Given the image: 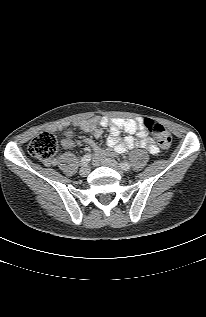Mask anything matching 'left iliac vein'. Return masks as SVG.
Returning a JSON list of instances; mask_svg holds the SVG:
<instances>
[{"label": "left iliac vein", "mask_w": 206, "mask_h": 317, "mask_svg": "<svg viewBox=\"0 0 206 317\" xmlns=\"http://www.w3.org/2000/svg\"><path fill=\"white\" fill-rule=\"evenodd\" d=\"M102 164L108 167H111L113 169H115L117 172H119L120 174H123L124 170L121 168V166L113 159L110 158H103L101 160Z\"/></svg>", "instance_id": "obj_1"}]
</instances>
